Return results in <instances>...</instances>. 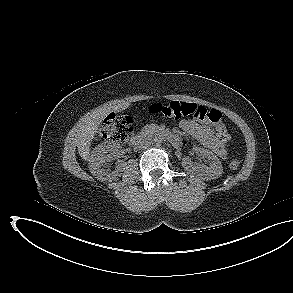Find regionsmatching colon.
I'll return each instance as SVG.
<instances>
[{"label": "colon", "instance_id": "5ec220e1", "mask_svg": "<svg viewBox=\"0 0 293 293\" xmlns=\"http://www.w3.org/2000/svg\"><path fill=\"white\" fill-rule=\"evenodd\" d=\"M151 113L161 114L171 119H181L183 117H193L200 121L215 124L217 138L221 144H226L230 140L227 129L221 122V113L216 109H207L201 105L182 101H172L168 105L153 104L149 108ZM133 121L126 115H108L99 129V135L117 143H125L133 134ZM240 166V161L234 159L229 167L236 170Z\"/></svg>", "mask_w": 293, "mask_h": 293}]
</instances>
